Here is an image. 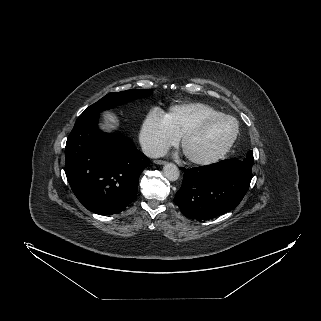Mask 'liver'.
Instances as JSON below:
<instances>
[{"mask_svg":"<svg viewBox=\"0 0 321 321\" xmlns=\"http://www.w3.org/2000/svg\"><path fill=\"white\" fill-rule=\"evenodd\" d=\"M106 124L103 126L104 129L110 130L117 127L118 121L116 117L111 113L105 114Z\"/></svg>","mask_w":321,"mask_h":321,"instance_id":"1","label":"liver"}]
</instances>
